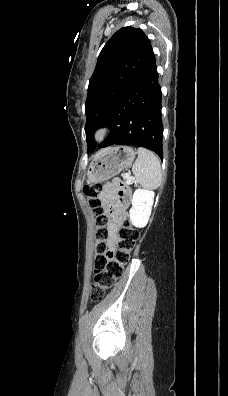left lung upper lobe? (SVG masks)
<instances>
[{
	"label": "left lung upper lobe",
	"instance_id": "5c2ea615",
	"mask_svg": "<svg viewBox=\"0 0 228 396\" xmlns=\"http://www.w3.org/2000/svg\"><path fill=\"white\" fill-rule=\"evenodd\" d=\"M153 50L143 31L131 26L118 30L101 50L89 81L86 108L88 152L95 148L94 132L114 116L125 91L141 74Z\"/></svg>",
	"mask_w": 228,
	"mask_h": 396
}]
</instances>
